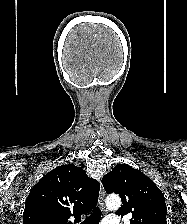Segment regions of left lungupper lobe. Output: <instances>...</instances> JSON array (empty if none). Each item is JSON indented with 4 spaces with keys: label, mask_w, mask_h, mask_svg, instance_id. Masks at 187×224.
I'll return each instance as SVG.
<instances>
[{
    "label": "left lung upper lobe",
    "mask_w": 187,
    "mask_h": 224,
    "mask_svg": "<svg viewBox=\"0 0 187 224\" xmlns=\"http://www.w3.org/2000/svg\"><path fill=\"white\" fill-rule=\"evenodd\" d=\"M102 183L107 194L120 195L122 205L116 214L132 215L131 224H167L164 195L140 170L119 164L103 177Z\"/></svg>",
    "instance_id": "obj_1"
}]
</instances>
